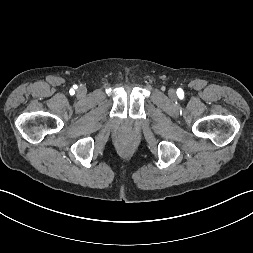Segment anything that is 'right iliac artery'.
Segmentation results:
<instances>
[{"instance_id":"obj_1","label":"right iliac artery","mask_w":253,"mask_h":253,"mask_svg":"<svg viewBox=\"0 0 253 253\" xmlns=\"http://www.w3.org/2000/svg\"><path fill=\"white\" fill-rule=\"evenodd\" d=\"M70 93L73 94V93H74V89H71V90H70Z\"/></svg>"}]
</instances>
